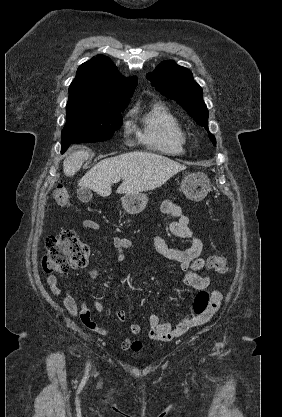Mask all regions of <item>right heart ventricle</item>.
Segmentation results:
<instances>
[{
	"label": "right heart ventricle",
	"mask_w": 282,
	"mask_h": 417,
	"mask_svg": "<svg viewBox=\"0 0 282 417\" xmlns=\"http://www.w3.org/2000/svg\"><path fill=\"white\" fill-rule=\"evenodd\" d=\"M138 108L133 114H138ZM139 139L148 147L162 152L181 150L182 135L176 119L161 103H155L140 117L137 128Z\"/></svg>",
	"instance_id": "right-heart-ventricle-1"
}]
</instances>
